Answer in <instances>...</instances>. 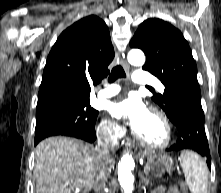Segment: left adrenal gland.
Segmentation results:
<instances>
[{"label":"left adrenal gland","mask_w":221,"mask_h":193,"mask_svg":"<svg viewBox=\"0 0 221 193\" xmlns=\"http://www.w3.org/2000/svg\"><path fill=\"white\" fill-rule=\"evenodd\" d=\"M141 181L145 184L148 185L149 184V178L146 176H144V174H141Z\"/></svg>","instance_id":"a2214340"}]
</instances>
